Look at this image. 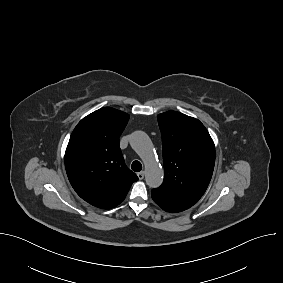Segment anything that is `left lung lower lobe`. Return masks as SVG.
Wrapping results in <instances>:
<instances>
[{"label":"left lung lower lobe","mask_w":283,"mask_h":283,"mask_svg":"<svg viewBox=\"0 0 283 283\" xmlns=\"http://www.w3.org/2000/svg\"><path fill=\"white\" fill-rule=\"evenodd\" d=\"M151 195L153 200L165 211L167 212H180L177 208H175L172 204L164 200L155 190L151 191Z\"/></svg>","instance_id":"0a47b994"}]
</instances>
